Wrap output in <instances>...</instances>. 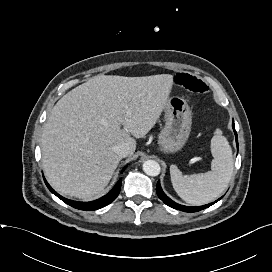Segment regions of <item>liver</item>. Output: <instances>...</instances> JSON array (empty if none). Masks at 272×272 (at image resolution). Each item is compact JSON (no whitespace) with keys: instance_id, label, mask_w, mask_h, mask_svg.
Here are the masks:
<instances>
[{"instance_id":"1","label":"liver","mask_w":272,"mask_h":272,"mask_svg":"<svg viewBox=\"0 0 272 272\" xmlns=\"http://www.w3.org/2000/svg\"><path fill=\"white\" fill-rule=\"evenodd\" d=\"M174 77L98 75L65 94L44 124L46 178L60 194L90 200L109 183L120 162L114 146L144 137L168 104ZM123 127V128H122Z\"/></svg>"}]
</instances>
